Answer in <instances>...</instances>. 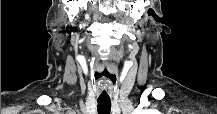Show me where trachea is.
Segmentation results:
<instances>
[{
	"label": "trachea",
	"instance_id": "obj_1",
	"mask_svg": "<svg viewBox=\"0 0 217 114\" xmlns=\"http://www.w3.org/2000/svg\"><path fill=\"white\" fill-rule=\"evenodd\" d=\"M97 103H98L97 105L98 114H110L111 111L110 98H98Z\"/></svg>",
	"mask_w": 217,
	"mask_h": 114
}]
</instances>
